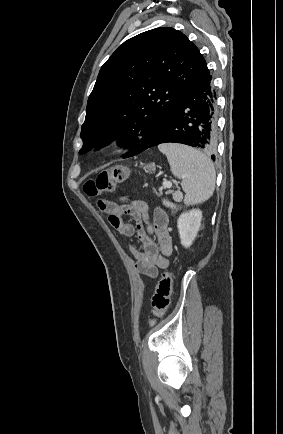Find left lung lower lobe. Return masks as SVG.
<instances>
[{"instance_id": "obj_1", "label": "left lung lower lobe", "mask_w": 283, "mask_h": 434, "mask_svg": "<svg viewBox=\"0 0 283 434\" xmlns=\"http://www.w3.org/2000/svg\"><path fill=\"white\" fill-rule=\"evenodd\" d=\"M216 100L209 71L180 96L147 148L173 142L213 152L217 144Z\"/></svg>"}]
</instances>
